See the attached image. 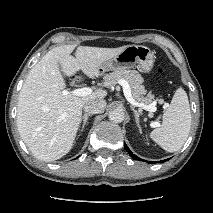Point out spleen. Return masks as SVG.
Returning a JSON list of instances; mask_svg holds the SVG:
<instances>
[{
	"mask_svg": "<svg viewBox=\"0 0 213 213\" xmlns=\"http://www.w3.org/2000/svg\"><path fill=\"white\" fill-rule=\"evenodd\" d=\"M191 127L188 96L178 88L163 114L162 124L150 133V138L167 152L178 151L187 140Z\"/></svg>",
	"mask_w": 213,
	"mask_h": 213,
	"instance_id": "3e777b00",
	"label": "spleen"
}]
</instances>
